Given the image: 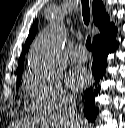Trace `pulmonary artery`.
Returning a JSON list of instances; mask_svg holds the SVG:
<instances>
[{
    "mask_svg": "<svg viewBox=\"0 0 125 128\" xmlns=\"http://www.w3.org/2000/svg\"><path fill=\"white\" fill-rule=\"evenodd\" d=\"M70 59L73 62L84 63L88 60V54L86 53L84 46H77L71 53Z\"/></svg>",
    "mask_w": 125,
    "mask_h": 128,
    "instance_id": "1",
    "label": "pulmonary artery"
}]
</instances>
